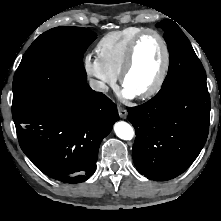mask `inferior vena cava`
Segmentation results:
<instances>
[{
  "mask_svg": "<svg viewBox=\"0 0 221 221\" xmlns=\"http://www.w3.org/2000/svg\"><path fill=\"white\" fill-rule=\"evenodd\" d=\"M89 85L95 91L107 92L109 89L105 83L95 79H90Z\"/></svg>",
  "mask_w": 221,
  "mask_h": 221,
  "instance_id": "1",
  "label": "inferior vena cava"
}]
</instances>
